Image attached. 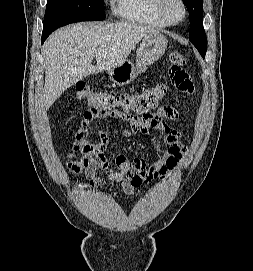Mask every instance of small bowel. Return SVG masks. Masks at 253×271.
Instances as JSON below:
<instances>
[{
	"label": "small bowel",
	"mask_w": 253,
	"mask_h": 271,
	"mask_svg": "<svg viewBox=\"0 0 253 271\" xmlns=\"http://www.w3.org/2000/svg\"><path fill=\"white\" fill-rule=\"evenodd\" d=\"M105 117L125 124L123 135L128 138L136 134L146 136L154 131L159 132L165 146L163 156L152 165H147L141 158L131 160L125 154L119 153L115 157L118 170L108 172L109 162L105 151L110 144L109 136L101 132L97 143L91 144L87 141L93 124ZM179 117L178 110L172 105H163L155 113L148 114L142 119L118 111L108 115L87 111L75 133L72 151L68 156V166L74 173L85 172L90 186L118 183L124 193L131 196L141 190L145 183L168 178L186 154L187 147L182 142L181 134L166 123V120L177 121ZM99 172H105L106 178L98 177Z\"/></svg>",
	"instance_id": "small-bowel-1"
}]
</instances>
